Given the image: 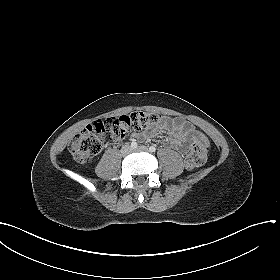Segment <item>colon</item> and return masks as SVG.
Here are the masks:
<instances>
[{"label": "colon", "mask_w": 280, "mask_h": 280, "mask_svg": "<svg viewBox=\"0 0 280 280\" xmlns=\"http://www.w3.org/2000/svg\"><path fill=\"white\" fill-rule=\"evenodd\" d=\"M164 120L165 118L157 113L144 111L98 120L72 139L69 151L76 162L86 164L106 143H119L130 130L148 129ZM207 154V142H194L186 158L187 168L193 170L202 166L206 162Z\"/></svg>", "instance_id": "1"}]
</instances>
